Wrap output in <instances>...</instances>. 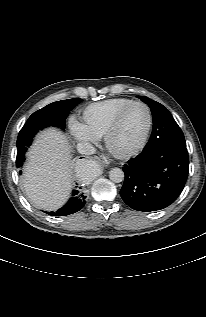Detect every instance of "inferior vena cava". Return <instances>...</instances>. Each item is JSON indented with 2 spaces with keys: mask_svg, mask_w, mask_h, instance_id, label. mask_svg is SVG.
Listing matches in <instances>:
<instances>
[{
  "mask_svg": "<svg viewBox=\"0 0 206 317\" xmlns=\"http://www.w3.org/2000/svg\"><path fill=\"white\" fill-rule=\"evenodd\" d=\"M77 150L80 154L91 155L95 153V148L89 142H81L77 144Z\"/></svg>",
  "mask_w": 206,
  "mask_h": 317,
  "instance_id": "1",
  "label": "inferior vena cava"
}]
</instances>
